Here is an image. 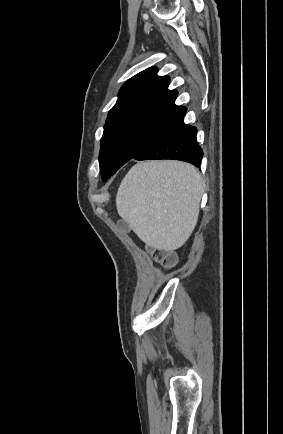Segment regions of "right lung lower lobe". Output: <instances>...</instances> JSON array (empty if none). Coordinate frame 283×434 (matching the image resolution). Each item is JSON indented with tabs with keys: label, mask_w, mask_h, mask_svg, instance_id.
<instances>
[{
	"label": "right lung lower lobe",
	"mask_w": 283,
	"mask_h": 434,
	"mask_svg": "<svg viewBox=\"0 0 283 434\" xmlns=\"http://www.w3.org/2000/svg\"><path fill=\"white\" fill-rule=\"evenodd\" d=\"M196 127L184 123L183 118L148 143L133 159H175L201 164L203 151L196 139Z\"/></svg>",
	"instance_id": "obj_1"
}]
</instances>
